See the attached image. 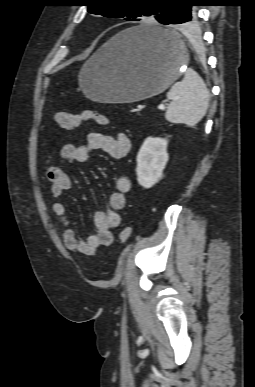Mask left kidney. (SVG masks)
<instances>
[{"instance_id":"left-kidney-1","label":"left kidney","mask_w":255,"mask_h":387,"mask_svg":"<svg viewBox=\"0 0 255 387\" xmlns=\"http://www.w3.org/2000/svg\"><path fill=\"white\" fill-rule=\"evenodd\" d=\"M167 139L148 137L137 155V181L144 188L156 184L168 162Z\"/></svg>"}]
</instances>
